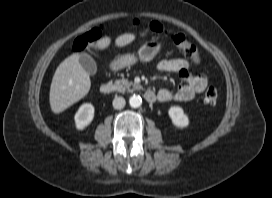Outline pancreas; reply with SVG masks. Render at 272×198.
Instances as JSON below:
<instances>
[{"mask_svg":"<svg viewBox=\"0 0 272 198\" xmlns=\"http://www.w3.org/2000/svg\"><path fill=\"white\" fill-rule=\"evenodd\" d=\"M114 86H115V89L120 93H124L126 91H132L133 89H140L141 88L140 85L130 82L124 78L121 80H116L114 83ZM131 86H133V89H130Z\"/></svg>","mask_w":272,"mask_h":198,"instance_id":"pancreas-1","label":"pancreas"}]
</instances>
